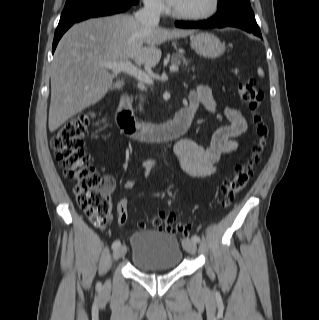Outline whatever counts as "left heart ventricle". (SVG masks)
I'll return each mask as SVG.
<instances>
[{
    "mask_svg": "<svg viewBox=\"0 0 319 320\" xmlns=\"http://www.w3.org/2000/svg\"><path fill=\"white\" fill-rule=\"evenodd\" d=\"M211 4V0H180L174 9L184 14H195L206 11Z\"/></svg>",
    "mask_w": 319,
    "mask_h": 320,
    "instance_id": "b2bd125f",
    "label": "left heart ventricle"
}]
</instances>
